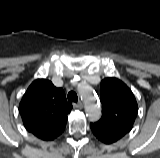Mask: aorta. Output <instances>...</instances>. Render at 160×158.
I'll return each instance as SVG.
<instances>
[{
	"label": "aorta",
	"instance_id": "1",
	"mask_svg": "<svg viewBox=\"0 0 160 158\" xmlns=\"http://www.w3.org/2000/svg\"><path fill=\"white\" fill-rule=\"evenodd\" d=\"M80 95L85 103V110L90 121H98L101 117V108L97 97L92 90L86 86L79 87Z\"/></svg>",
	"mask_w": 160,
	"mask_h": 158
}]
</instances>
